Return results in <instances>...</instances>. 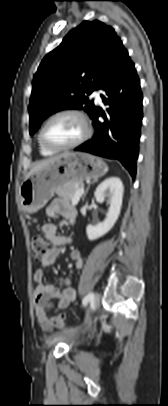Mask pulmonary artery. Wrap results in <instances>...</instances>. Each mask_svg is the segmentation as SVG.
<instances>
[{
  "mask_svg": "<svg viewBox=\"0 0 168 406\" xmlns=\"http://www.w3.org/2000/svg\"><path fill=\"white\" fill-rule=\"evenodd\" d=\"M92 96L95 98L96 102H101L100 92L98 90L93 91Z\"/></svg>",
  "mask_w": 168,
  "mask_h": 406,
  "instance_id": "e3ab8cb5",
  "label": "pulmonary artery"
}]
</instances>
